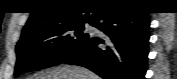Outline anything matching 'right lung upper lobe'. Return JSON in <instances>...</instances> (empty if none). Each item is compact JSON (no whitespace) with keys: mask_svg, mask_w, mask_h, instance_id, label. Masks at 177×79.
Masks as SVG:
<instances>
[{"mask_svg":"<svg viewBox=\"0 0 177 79\" xmlns=\"http://www.w3.org/2000/svg\"><path fill=\"white\" fill-rule=\"evenodd\" d=\"M114 2V1H113ZM112 4L85 3L83 0H39L23 28L21 38L39 29L76 21H91ZM89 8V9H88ZM82 13H85L82 16Z\"/></svg>","mask_w":177,"mask_h":79,"instance_id":"right-lung-upper-lobe-1","label":"right lung upper lobe"}]
</instances>
